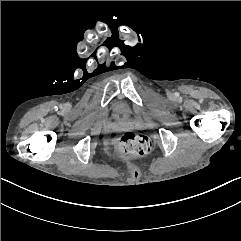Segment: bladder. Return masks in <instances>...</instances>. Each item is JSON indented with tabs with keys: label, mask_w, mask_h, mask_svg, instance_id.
<instances>
[{
	"label": "bladder",
	"mask_w": 241,
	"mask_h": 241,
	"mask_svg": "<svg viewBox=\"0 0 241 241\" xmlns=\"http://www.w3.org/2000/svg\"><path fill=\"white\" fill-rule=\"evenodd\" d=\"M114 112L119 118H122V119H127L130 116L129 108L120 102L115 104Z\"/></svg>",
	"instance_id": "bladder-1"
}]
</instances>
